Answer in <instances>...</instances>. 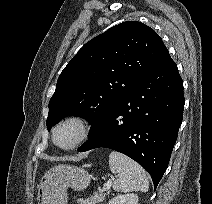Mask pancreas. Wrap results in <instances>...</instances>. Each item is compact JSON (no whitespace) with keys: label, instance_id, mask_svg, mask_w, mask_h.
<instances>
[{"label":"pancreas","instance_id":"1","mask_svg":"<svg viewBox=\"0 0 212 204\" xmlns=\"http://www.w3.org/2000/svg\"><path fill=\"white\" fill-rule=\"evenodd\" d=\"M110 191L107 193H104L102 191L95 192L94 195H92L90 198L87 199H78L79 204H99L104 201L107 194H109Z\"/></svg>","mask_w":212,"mask_h":204}]
</instances>
